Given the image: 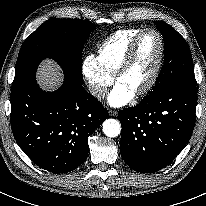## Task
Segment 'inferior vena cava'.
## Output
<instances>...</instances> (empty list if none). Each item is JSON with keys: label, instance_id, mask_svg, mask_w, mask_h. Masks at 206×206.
<instances>
[{"label": "inferior vena cava", "instance_id": "1", "mask_svg": "<svg viewBox=\"0 0 206 206\" xmlns=\"http://www.w3.org/2000/svg\"><path fill=\"white\" fill-rule=\"evenodd\" d=\"M89 92L96 98H104L107 94V88L100 85H92L89 87Z\"/></svg>", "mask_w": 206, "mask_h": 206}]
</instances>
